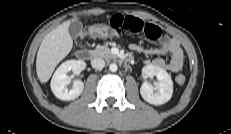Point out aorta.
<instances>
[{"label": "aorta", "instance_id": "aorta-1", "mask_svg": "<svg viewBox=\"0 0 231 134\" xmlns=\"http://www.w3.org/2000/svg\"><path fill=\"white\" fill-rule=\"evenodd\" d=\"M117 69H118L117 64L111 63V64L109 65V70H110L111 72H116Z\"/></svg>", "mask_w": 231, "mask_h": 134}]
</instances>
